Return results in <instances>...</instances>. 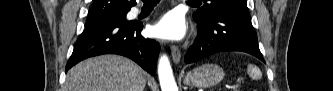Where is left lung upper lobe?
I'll return each instance as SVG.
<instances>
[{
    "label": "left lung upper lobe",
    "mask_w": 333,
    "mask_h": 91,
    "mask_svg": "<svg viewBox=\"0 0 333 91\" xmlns=\"http://www.w3.org/2000/svg\"><path fill=\"white\" fill-rule=\"evenodd\" d=\"M204 5L199 8L194 14L193 17L196 22L205 20L212 16V14L220 9L225 7H236V6H245L247 7L246 0H204ZM201 1H199V5Z\"/></svg>",
    "instance_id": "1"
}]
</instances>
